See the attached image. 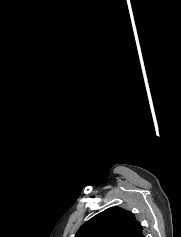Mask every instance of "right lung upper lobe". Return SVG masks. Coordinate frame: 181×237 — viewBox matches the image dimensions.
Returning <instances> with one entry per match:
<instances>
[{
    "label": "right lung upper lobe",
    "instance_id": "cb5924a9",
    "mask_svg": "<svg viewBox=\"0 0 181 237\" xmlns=\"http://www.w3.org/2000/svg\"><path fill=\"white\" fill-rule=\"evenodd\" d=\"M75 237H144L142 226L130 211L111 207L85 222Z\"/></svg>",
    "mask_w": 181,
    "mask_h": 237
}]
</instances>
